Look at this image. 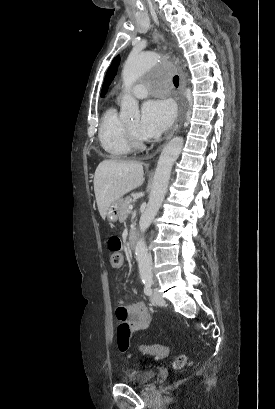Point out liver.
I'll list each match as a JSON object with an SVG mask.
<instances>
[{"instance_id":"1","label":"liver","mask_w":275,"mask_h":409,"mask_svg":"<svg viewBox=\"0 0 275 409\" xmlns=\"http://www.w3.org/2000/svg\"><path fill=\"white\" fill-rule=\"evenodd\" d=\"M142 162L102 160L95 170L94 190L98 211L105 219L108 207L123 194L143 184Z\"/></svg>"}]
</instances>
